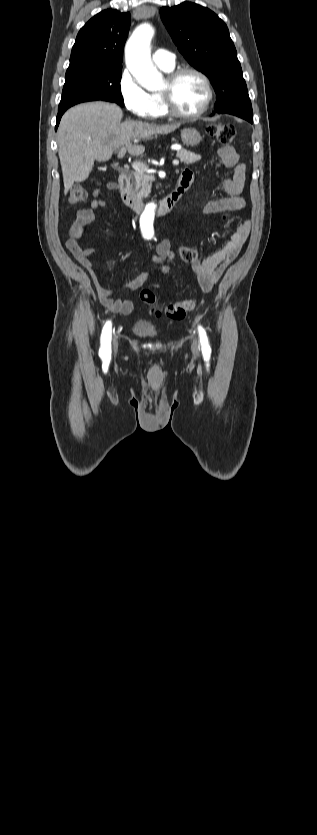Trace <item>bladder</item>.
Masks as SVG:
<instances>
[{"instance_id":"obj_1","label":"bladder","mask_w":317,"mask_h":835,"mask_svg":"<svg viewBox=\"0 0 317 835\" xmlns=\"http://www.w3.org/2000/svg\"><path fill=\"white\" fill-rule=\"evenodd\" d=\"M133 332L142 337H149L155 334V326L149 320H139L133 326Z\"/></svg>"}]
</instances>
